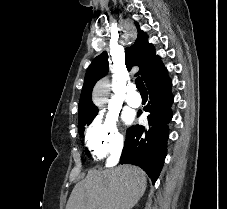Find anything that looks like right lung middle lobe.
Segmentation results:
<instances>
[{
  "mask_svg": "<svg viewBox=\"0 0 227 209\" xmlns=\"http://www.w3.org/2000/svg\"><path fill=\"white\" fill-rule=\"evenodd\" d=\"M94 116H85V117H79V122H78V131L80 133V135L82 137H84V130H85V126L89 125L92 120L94 119ZM87 154H89V152L87 151Z\"/></svg>",
  "mask_w": 227,
  "mask_h": 209,
  "instance_id": "1",
  "label": "right lung middle lobe"
}]
</instances>
